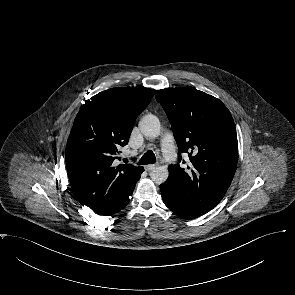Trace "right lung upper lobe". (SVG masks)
I'll return each instance as SVG.
<instances>
[{"instance_id":"cb5924a9","label":"right lung upper lobe","mask_w":295,"mask_h":295,"mask_svg":"<svg viewBox=\"0 0 295 295\" xmlns=\"http://www.w3.org/2000/svg\"><path fill=\"white\" fill-rule=\"evenodd\" d=\"M153 95L148 88H112L87 100L77 114L66 145V167L73 193L97 214L118 204L142 169L117 166L114 160Z\"/></svg>"}]
</instances>
